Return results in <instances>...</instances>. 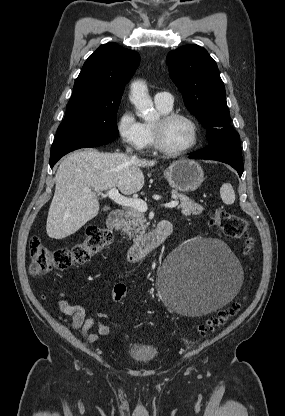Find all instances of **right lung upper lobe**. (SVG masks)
Returning <instances> with one entry per match:
<instances>
[{
  "label": "right lung upper lobe",
  "mask_w": 285,
  "mask_h": 416,
  "mask_svg": "<svg viewBox=\"0 0 285 416\" xmlns=\"http://www.w3.org/2000/svg\"><path fill=\"white\" fill-rule=\"evenodd\" d=\"M140 63L136 51L111 42L101 45L84 63L74 83L72 99L120 100L125 83Z\"/></svg>",
  "instance_id": "1"
}]
</instances>
